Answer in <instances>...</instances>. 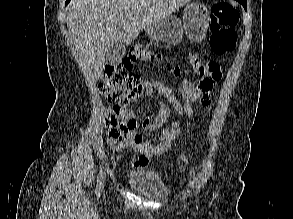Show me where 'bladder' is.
<instances>
[{
	"label": "bladder",
	"instance_id": "bladder-1",
	"mask_svg": "<svg viewBox=\"0 0 293 219\" xmlns=\"http://www.w3.org/2000/svg\"><path fill=\"white\" fill-rule=\"evenodd\" d=\"M125 183L134 193L149 200L162 202L169 196V190L162 177L151 168H138L125 175Z\"/></svg>",
	"mask_w": 293,
	"mask_h": 219
}]
</instances>
